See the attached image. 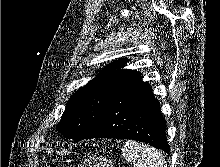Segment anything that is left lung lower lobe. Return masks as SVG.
<instances>
[{
  "label": "left lung lower lobe",
  "instance_id": "0a47b994",
  "mask_svg": "<svg viewBox=\"0 0 220 167\" xmlns=\"http://www.w3.org/2000/svg\"><path fill=\"white\" fill-rule=\"evenodd\" d=\"M90 138L134 139L170 153L159 103L150 86L140 79L114 98L82 139Z\"/></svg>",
  "mask_w": 220,
  "mask_h": 167
}]
</instances>
